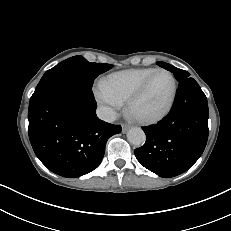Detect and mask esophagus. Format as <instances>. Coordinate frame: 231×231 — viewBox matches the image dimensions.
I'll return each mask as SVG.
<instances>
[{
    "instance_id": "obj_1",
    "label": "esophagus",
    "mask_w": 231,
    "mask_h": 231,
    "mask_svg": "<svg viewBox=\"0 0 231 231\" xmlns=\"http://www.w3.org/2000/svg\"><path fill=\"white\" fill-rule=\"evenodd\" d=\"M129 128H130L129 125L123 124V125H122V132H123V133H126V132L129 130Z\"/></svg>"
}]
</instances>
